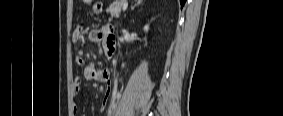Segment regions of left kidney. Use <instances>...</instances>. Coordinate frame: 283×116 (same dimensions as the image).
I'll list each match as a JSON object with an SVG mask.
<instances>
[{"instance_id": "left-kidney-1", "label": "left kidney", "mask_w": 283, "mask_h": 116, "mask_svg": "<svg viewBox=\"0 0 283 116\" xmlns=\"http://www.w3.org/2000/svg\"><path fill=\"white\" fill-rule=\"evenodd\" d=\"M148 29H149V26L148 25H146L145 27H144V31H148Z\"/></svg>"}]
</instances>
